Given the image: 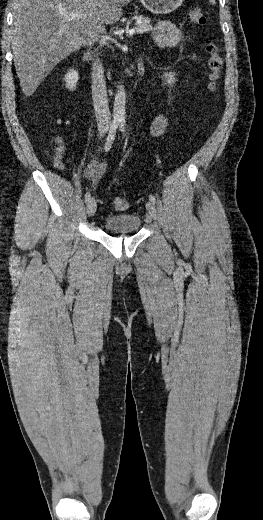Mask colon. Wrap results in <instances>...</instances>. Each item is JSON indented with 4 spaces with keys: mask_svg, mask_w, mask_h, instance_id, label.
I'll use <instances>...</instances> for the list:
<instances>
[{
    "mask_svg": "<svg viewBox=\"0 0 263 520\" xmlns=\"http://www.w3.org/2000/svg\"><path fill=\"white\" fill-rule=\"evenodd\" d=\"M187 21L189 24L196 26H205L207 24V18L205 14L197 5H194L189 9ZM205 49L207 53V67L209 70L210 87L211 89H215L221 76L223 58L220 54L219 45L213 40L207 41ZM113 206L117 211L124 210L126 208V201L122 197H116L113 200Z\"/></svg>",
    "mask_w": 263,
    "mask_h": 520,
    "instance_id": "obj_1",
    "label": "colon"
}]
</instances>
